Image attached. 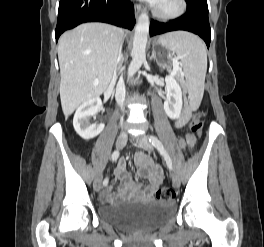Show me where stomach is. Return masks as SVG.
Masks as SVG:
<instances>
[{"label":"stomach","mask_w":264,"mask_h":247,"mask_svg":"<svg viewBox=\"0 0 264 247\" xmlns=\"http://www.w3.org/2000/svg\"><path fill=\"white\" fill-rule=\"evenodd\" d=\"M160 39V38H159ZM161 45L159 40L154 44L155 58H159V62H167V58L171 57L170 53H167V48ZM159 68H166V63H159Z\"/></svg>","instance_id":"obj_1"}]
</instances>
